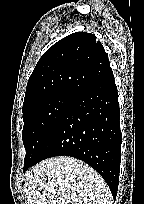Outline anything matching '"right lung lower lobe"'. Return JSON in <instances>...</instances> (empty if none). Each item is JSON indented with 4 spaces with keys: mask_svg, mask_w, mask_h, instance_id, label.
Instances as JSON below:
<instances>
[{
    "mask_svg": "<svg viewBox=\"0 0 144 204\" xmlns=\"http://www.w3.org/2000/svg\"><path fill=\"white\" fill-rule=\"evenodd\" d=\"M119 119L118 92L111 75L75 95L33 165L54 156L80 159L104 178L115 199L121 162Z\"/></svg>",
    "mask_w": 144,
    "mask_h": 204,
    "instance_id": "right-lung-lower-lobe-1",
    "label": "right lung lower lobe"
}]
</instances>
